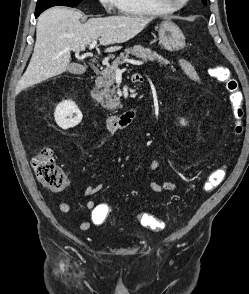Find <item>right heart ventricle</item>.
Here are the masks:
<instances>
[{
	"label": "right heart ventricle",
	"mask_w": 249,
	"mask_h": 294,
	"mask_svg": "<svg viewBox=\"0 0 249 294\" xmlns=\"http://www.w3.org/2000/svg\"><path fill=\"white\" fill-rule=\"evenodd\" d=\"M118 9L127 15L159 16L170 13L156 5L153 0H117Z\"/></svg>",
	"instance_id": "e07e8e85"
}]
</instances>
